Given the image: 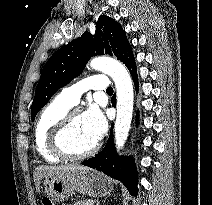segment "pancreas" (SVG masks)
<instances>
[{
  "label": "pancreas",
  "instance_id": "obj_1",
  "mask_svg": "<svg viewBox=\"0 0 212 205\" xmlns=\"http://www.w3.org/2000/svg\"><path fill=\"white\" fill-rule=\"evenodd\" d=\"M93 200H83L75 203L74 205H93Z\"/></svg>",
  "mask_w": 212,
  "mask_h": 205
}]
</instances>
